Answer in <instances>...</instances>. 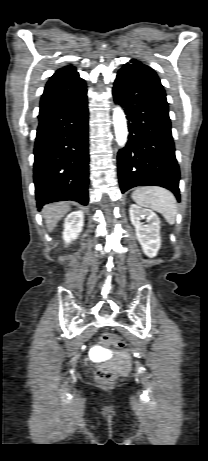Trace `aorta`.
I'll use <instances>...</instances> for the list:
<instances>
[{
    "mask_svg": "<svg viewBox=\"0 0 208 461\" xmlns=\"http://www.w3.org/2000/svg\"><path fill=\"white\" fill-rule=\"evenodd\" d=\"M113 124L115 129L116 142L119 147H124L127 142L128 128L125 114L119 106L114 108Z\"/></svg>",
    "mask_w": 208,
    "mask_h": 461,
    "instance_id": "762f6f07",
    "label": "aorta"
}]
</instances>
